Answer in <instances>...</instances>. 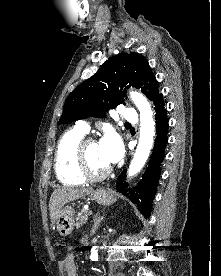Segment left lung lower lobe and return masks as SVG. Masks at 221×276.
I'll list each match as a JSON object with an SVG mask.
<instances>
[{
  "instance_id": "left-lung-lower-lobe-1",
  "label": "left lung lower lobe",
  "mask_w": 221,
  "mask_h": 276,
  "mask_svg": "<svg viewBox=\"0 0 221 276\" xmlns=\"http://www.w3.org/2000/svg\"><path fill=\"white\" fill-rule=\"evenodd\" d=\"M162 94H159L153 101L156 120V138L154 148L152 150L150 160L142 179L134 188H127L128 183H125L126 170H124L117 179L116 189L118 192L126 195L133 203H135L145 217H149L151 212V201L153 200L156 187L160 177V164L164 159V151L168 141V118L164 107ZM129 191V194L127 192Z\"/></svg>"
}]
</instances>
